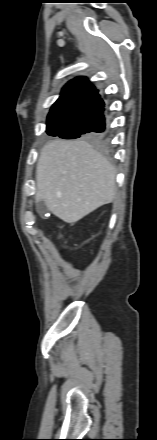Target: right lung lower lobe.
Returning <instances> with one entry per match:
<instances>
[{
	"mask_svg": "<svg viewBox=\"0 0 157 440\" xmlns=\"http://www.w3.org/2000/svg\"><path fill=\"white\" fill-rule=\"evenodd\" d=\"M92 130L96 132H102L105 128V118L102 114L100 117H98L92 127H90Z\"/></svg>",
	"mask_w": 157,
	"mask_h": 440,
	"instance_id": "obj_1",
	"label": "right lung lower lobe"
}]
</instances>
